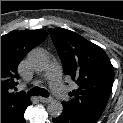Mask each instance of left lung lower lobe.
Wrapping results in <instances>:
<instances>
[{"instance_id":"left-lung-lower-lobe-1","label":"left lung lower lobe","mask_w":123,"mask_h":123,"mask_svg":"<svg viewBox=\"0 0 123 123\" xmlns=\"http://www.w3.org/2000/svg\"><path fill=\"white\" fill-rule=\"evenodd\" d=\"M53 123H96L87 119H83L63 106V112L60 116L53 119Z\"/></svg>"}]
</instances>
